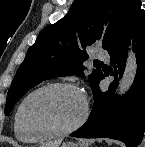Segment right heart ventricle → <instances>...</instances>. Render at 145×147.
Wrapping results in <instances>:
<instances>
[{"label": "right heart ventricle", "mask_w": 145, "mask_h": 147, "mask_svg": "<svg viewBox=\"0 0 145 147\" xmlns=\"http://www.w3.org/2000/svg\"><path fill=\"white\" fill-rule=\"evenodd\" d=\"M18 110H19V107L16 111L15 118H14V133H15L16 138L22 142H34V141H38V140L43 139V137H41L39 135L26 132L21 127L19 120H18Z\"/></svg>", "instance_id": "obj_1"}]
</instances>
